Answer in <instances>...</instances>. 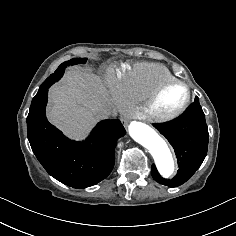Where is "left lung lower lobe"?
Segmentation results:
<instances>
[{
  "mask_svg": "<svg viewBox=\"0 0 236 236\" xmlns=\"http://www.w3.org/2000/svg\"><path fill=\"white\" fill-rule=\"evenodd\" d=\"M154 126L174 148L179 171L173 179L166 180L160 176L153 164L152 177L169 187L180 186L192 177L207 154L209 133L199 98L195 97L194 102L175 121Z\"/></svg>",
  "mask_w": 236,
  "mask_h": 236,
  "instance_id": "0a47b994",
  "label": "left lung lower lobe"
}]
</instances>
